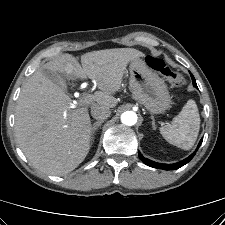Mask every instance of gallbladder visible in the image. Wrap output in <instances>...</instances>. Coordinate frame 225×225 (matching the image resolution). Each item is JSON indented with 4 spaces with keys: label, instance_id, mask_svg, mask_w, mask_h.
I'll use <instances>...</instances> for the list:
<instances>
[{
    "label": "gallbladder",
    "instance_id": "gallbladder-1",
    "mask_svg": "<svg viewBox=\"0 0 225 225\" xmlns=\"http://www.w3.org/2000/svg\"><path fill=\"white\" fill-rule=\"evenodd\" d=\"M42 72L53 83H55L57 85H60V82L62 81V79L60 78V76L57 73L52 72V71H50L48 69H44Z\"/></svg>",
    "mask_w": 225,
    "mask_h": 225
}]
</instances>
